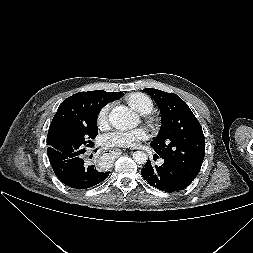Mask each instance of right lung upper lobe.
Instances as JSON below:
<instances>
[{
    "instance_id": "cb5924a9",
    "label": "right lung upper lobe",
    "mask_w": 253,
    "mask_h": 253,
    "mask_svg": "<svg viewBox=\"0 0 253 253\" xmlns=\"http://www.w3.org/2000/svg\"><path fill=\"white\" fill-rule=\"evenodd\" d=\"M123 95L122 92L103 90L76 93L59 106L48 131L47 144L65 128H73L87 123L92 112L101 110L106 104Z\"/></svg>"
}]
</instances>
